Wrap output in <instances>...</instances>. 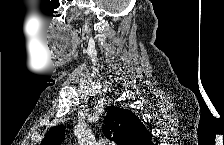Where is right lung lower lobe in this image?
Here are the masks:
<instances>
[{"mask_svg": "<svg viewBox=\"0 0 224 145\" xmlns=\"http://www.w3.org/2000/svg\"><path fill=\"white\" fill-rule=\"evenodd\" d=\"M150 144H151V139L146 142V145H150Z\"/></svg>", "mask_w": 224, "mask_h": 145, "instance_id": "98d812e1", "label": "right lung lower lobe"}]
</instances>
